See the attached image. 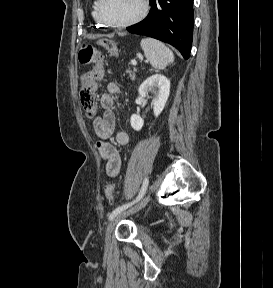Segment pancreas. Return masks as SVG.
<instances>
[{"mask_svg":"<svg viewBox=\"0 0 273 288\" xmlns=\"http://www.w3.org/2000/svg\"><path fill=\"white\" fill-rule=\"evenodd\" d=\"M136 68H132V69H127L126 72L129 74V76L134 79L135 78V72H136Z\"/></svg>","mask_w":273,"mask_h":288,"instance_id":"pancreas-1","label":"pancreas"}]
</instances>
